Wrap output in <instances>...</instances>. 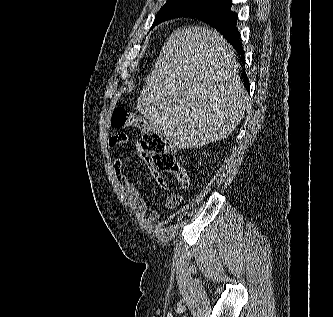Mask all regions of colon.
Returning <instances> with one entry per match:
<instances>
[{
  "mask_svg": "<svg viewBox=\"0 0 333 317\" xmlns=\"http://www.w3.org/2000/svg\"><path fill=\"white\" fill-rule=\"evenodd\" d=\"M114 129L137 128L142 133V148L161 171L172 173L183 187L189 185L185 168L177 160L174 148L156 131L152 130L138 115L125 108H116L111 117Z\"/></svg>",
  "mask_w": 333,
  "mask_h": 317,
  "instance_id": "1",
  "label": "colon"
}]
</instances>
